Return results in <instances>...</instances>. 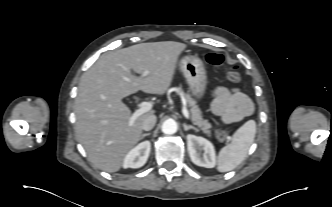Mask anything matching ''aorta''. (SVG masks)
<instances>
[{
	"label": "aorta",
	"instance_id": "obj_1",
	"mask_svg": "<svg viewBox=\"0 0 332 207\" xmlns=\"http://www.w3.org/2000/svg\"><path fill=\"white\" fill-rule=\"evenodd\" d=\"M177 128V123L172 119H168L162 124V132L167 135H172L176 133Z\"/></svg>",
	"mask_w": 332,
	"mask_h": 207
}]
</instances>
